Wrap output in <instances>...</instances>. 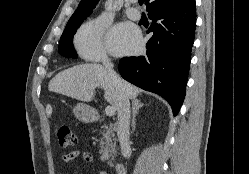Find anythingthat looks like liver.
Returning a JSON list of instances; mask_svg holds the SVG:
<instances>
[{
  "instance_id": "obj_1",
  "label": "liver",
  "mask_w": 249,
  "mask_h": 174,
  "mask_svg": "<svg viewBox=\"0 0 249 174\" xmlns=\"http://www.w3.org/2000/svg\"><path fill=\"white\" fill-rule=\"evenodd\" d=\"M128 99L135 100L140 89L119 77ZM49 91L90 102L97 88L104 90L106 101L117 110L118 92L108 70L96 63L76 65L58 73L48 85Z\"/></svg>"
}]
</instances>
